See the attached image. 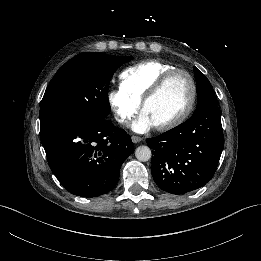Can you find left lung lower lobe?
I'll return each instance as SVG.
<instances>
[{"label":"left lung lower lobe","instance_id":"1","mask_svg":"<svg viewBox=\"0 0 261 261\" xmlns=\"http://www.w3.org/2000/svg\"><path fill=\"white\" fill-rule=\"evenodd\" d=\"M151 172L156 184L171 194H185L206 185L214 176L224 146L220 111L209 105L190 119L157 137Z\"/></svg>","mask_w":261,"mask_h":261}]
</instances>
